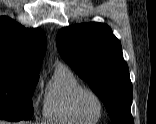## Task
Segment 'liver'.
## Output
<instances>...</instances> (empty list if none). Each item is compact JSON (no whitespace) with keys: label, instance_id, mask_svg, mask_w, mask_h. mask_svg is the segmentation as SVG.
<instances>
[{"label":"liver","instance_id":"obj_1","mask_svg":"<svg viewBox=\"0 0 156 124\" xmlns=\"http://www.w3.org/2000/svg\"><path fill=\"white\" fill-rule=\"evenodd\" d=\"M0 124H5V122L4 121H0Z\"/></svg>","mask_w":156,"mask_h":124}]
</instances>
